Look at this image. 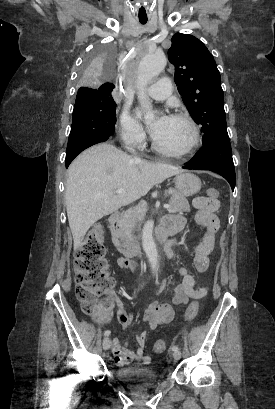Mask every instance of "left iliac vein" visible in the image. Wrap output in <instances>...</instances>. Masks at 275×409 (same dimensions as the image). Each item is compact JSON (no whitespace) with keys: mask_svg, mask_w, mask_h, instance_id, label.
Segmentation results:
<instances>
[{"mask_svg":"<svg viewBox=\"0 0 275 409\" xmlns=\"http://www.w3.org/2000/svg\"><path fill=\"white\" fill-rule=\"evenodd\" d=\"M172 355H173V358H174L175 360H179V359L181 358L180 351H174V352L172 353Z\"/></svg>","mask_w":275,"mask_h":409,"instance_id":"1","label":"left iliac vein"}]
</instances>
